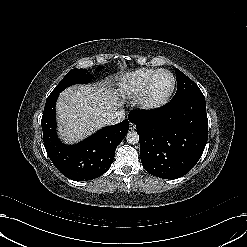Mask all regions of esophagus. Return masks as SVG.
Segmentation results:
<instances>
[{"label":"esophagus","instance_id":"esophagus-1","mask_svg":"<svg viewBox=\"0 0 247 247\" xmlns=\"http://www.w3.org/2000/svg\"><path fill=\"white\" fill-rule=\"evenodd\" d=\"M129 129L130 130H135L136 129V125L134 123L130 122Z\"/></svg>","mask_w":247,"mask_h":247}]
</instances>
